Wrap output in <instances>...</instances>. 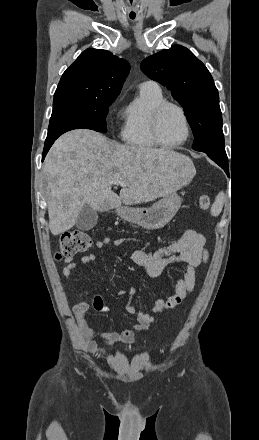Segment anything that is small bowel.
Segmentation results:
<instances>
[{
	"mask_svg": "<svg viewBox=\"0 0 259 440\" xmlns=\"http://www.w3.org/2000/svg\"><path fill=\"white\" fill-rule=\"evenodd\" d=\"M127 240L126 238H119L112 241V243L118 246ZM110 242V239L106 237L103 240L97 241L95 246L101 249ZM131 259L151 278L159 277L169 265L174 263H183L184 272L182 277L175 281V294L166 300L163 298L157 299L153 306L149 308V313L134 306L131 298L135 294V288L130 287L126 290L118 291V295L129 297L126 311L136 318V324L132 329H126L121 332H97L88 326L86 319L88 306L85 304L75 306L74 312L81 332L83 346L87 352L97 357H104L106 351L97 346L96 338L109 343L132 344L136 341L138 332L146 330L154 322L155 319L152 314H161L180 305L194 289L196 283L195 269L207 261L208 252L205 248L204 236L193 229L187 228L174 243L156 251L137 249L132 253ZM95 260L96 256L94 254H87L80 259V263L88 264L95 262ZM76 268L77 263L72 258H67L61 267V273L63 276H68ZM92 307L101 313L109 311V308L100 296L94 297Z\"/></svg>",
	"mask_w": 259,
	"mask_h": 440,
	"instance_id": "small-bowel-1",
	"label": "small bowel"
}]
</instances>
